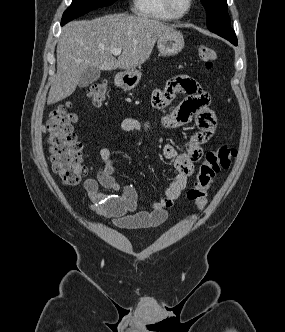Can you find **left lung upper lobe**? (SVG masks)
<instances>
[{
	"label": "left lung upper lobe",
	"mask_w": 285,
	"mask_h": 332,
	"mask_svg": "<svg viewBox=\"0 0 285 332\" xmlns=\"http://www.w3.org/2000/svg\"><path fill=\"white\" fill-rule=\"evenodd\" d=\"M207 14V27L210 31L227 38H236L230 26L227 0H201Z\"/></svg>",
	"instance_id": "5c2ea615"
}]
</instances>
